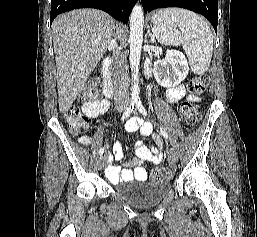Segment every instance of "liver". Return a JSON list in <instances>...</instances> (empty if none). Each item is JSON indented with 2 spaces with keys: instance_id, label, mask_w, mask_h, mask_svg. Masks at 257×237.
<instances>
[{
  "instance_id": "1",
  "label": "liver",
  "mask_w": 257,
  "mask_h": 237,
  "mask_svg": "<svg viewBox=\"0 0 257 237\" xmlns=\"http://www.w3.org/2000/svg\"><path fill=\"white\" fill-rule=\"evenodd\" d=\"M111 16L96 9L59 15L52 24L58 103L65 114L105 54L114 33Z\"/></svg>"
}]
</instances>
